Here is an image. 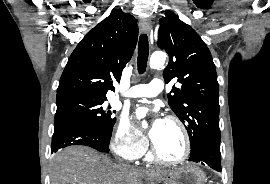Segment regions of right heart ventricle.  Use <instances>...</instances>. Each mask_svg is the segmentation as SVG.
<instances>
[{
	"mask_svg": "<svg viewBox=\"0 0 270 184\" xmlns=\"http://www.w3.org/2000/svg\"><path fill=\"white\" fill-rule=\"evenodd\" d=\"M145 154V153H144ZM146 159L147 160H151L152 159V155L151 154H146Z\"/></svg>",
	"mask_w": 270,
	"mask_h": 184,
	"instance_id": "obj_1",
	"label": "right heart ventricle"
}]
</instances>
